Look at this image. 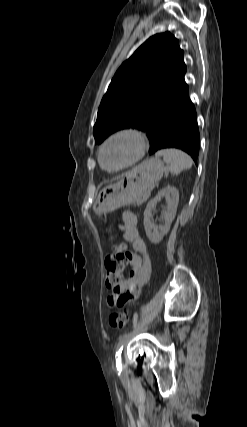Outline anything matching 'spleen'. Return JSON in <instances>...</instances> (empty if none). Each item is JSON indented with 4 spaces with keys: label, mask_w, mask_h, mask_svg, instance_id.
Segmentation results:
<instances>
[{
    "label": "spleen",
    "mask_w": 247,
    "mask_h": 427,
    "mask_svg": "<svg viewBox=\"0 0 247 427\" xmlns=\"http://www.w3.org/2000/svg\"><path fill=\"white\" fill-rule=\"evenodd\" d=\"M156 156H163L164 162L169 166V170L173 175H178L181 171L192 167L190 156L178 149H163L158 151Z\"/></svg>",
    "instance_id": "3e777b00"
}]
</instances>
